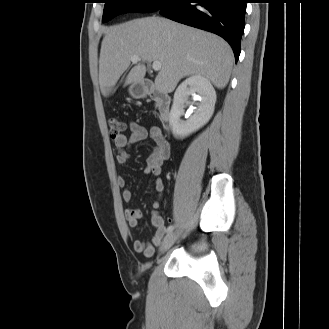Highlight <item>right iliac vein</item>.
I'll return each mask as SVG.
<instances>
[{"label": "right iliac vein", "instance_id": "1", "mask_svg": "<svg viewBox=\"0 0 329 329\" xmlns=\"http://www.w3.org/2000/svg\"><path fill=\"white\" fill-rule=\"evenodd\" d=\"M178 237V233L177 232H172V233H169L163 243H162V246H161V253H164L165 251H167L176 241Z\"/></svg>", "mask_w": 329, "mask_h": 329}]
</instances>
